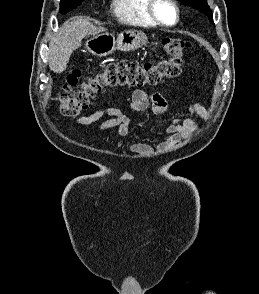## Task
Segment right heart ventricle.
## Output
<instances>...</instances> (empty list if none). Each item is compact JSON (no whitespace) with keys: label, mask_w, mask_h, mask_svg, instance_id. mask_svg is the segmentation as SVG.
<instances>
[{"label":"right heart ventricle","mask_w":259,"mask_h":294,"mask_svg":"<svg viewBox=\"0 0 259 294\" xmlns=\"http://www.w3.org/2000/svg\"><path fill=\"white\" fill-rule=\"evenodd\" d=\"M147 4L148 0H113L112 10L115 17L124 24L157 27L147 13Z\"/></svg>","instance_id":"obj_1"}]
</instances>
